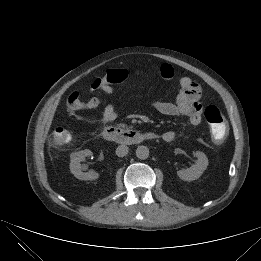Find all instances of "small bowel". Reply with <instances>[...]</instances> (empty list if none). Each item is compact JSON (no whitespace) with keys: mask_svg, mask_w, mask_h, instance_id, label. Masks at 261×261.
Instances as JSON below:
<instances>
[{"mask_svg":"<svg viewBox=\"0 0 261 261\" xmlns=\"http://www.w3.org/2000/svg\"><path fill=\"white\" fill-rule=\"evenodd\" d=\"M158 72L164 80H170L174 76V69L169 64L159 66ZM179 92L174 102L157 101L154 104L155 109L166 116H185L189 118L193 126L201 123L202 106L199 102L201 88L198 83L190 77L184 76L179 80ZM101 92L109 96L114 95V89L111 84L104 83L100 89ZM67 108L71 112L86 111L103 106V111L99 117H85L83 121L88 124L110 123L114 121L119 111L112 100H103L99 97H92L88 100H81L78 92L71 93L67 98ZM166 142H171L176 138V133L172 130L166 131L161 135Z\"/></svg>","mask_w":261,"mask_h":261,"instance_id":"obj_1","label":"small bowel"}]
</instances>
